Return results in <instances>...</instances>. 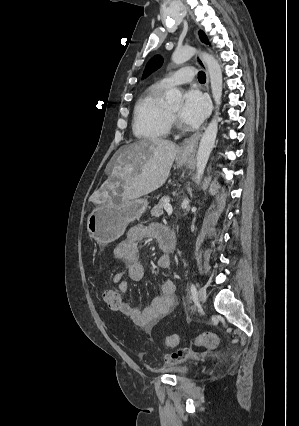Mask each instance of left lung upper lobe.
I'll return each instance as SVG.
<instances>
[{
	"label": "left lung upper lobe",
	"instance_id": "1",
	"mask_svg": "<svg viewBox=\"0 0 299 426\" xmlns=\"http://www.w3.org/2000/svg\"><path fill=\"white\" fill-rule=\"evenodd\" d=\"M199 36L202 42L208 44V39L206 37V35L202 32L199 31ZM162 65V58L159 56H155L153 57L146 65L145 67V71L143 74V78L146 77L148 74H150L151 72H153L154 70H156L157 68H159Z\"/></svg>",
	"mask_w": 299,
	"mask_h": 426
}]
</instances>
